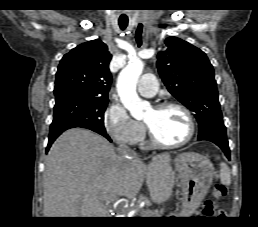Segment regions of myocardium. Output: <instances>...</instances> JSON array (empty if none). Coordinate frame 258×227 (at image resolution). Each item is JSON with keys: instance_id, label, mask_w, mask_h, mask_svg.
I'll return each mask as SVG.
<instances>
[{"instance_id": "obj_1", "label": "myocardium", "mask_w": 258, "mask_h": 227, "mask_svg": "<svg viewBox=\"0 0 258 227\" xmlns=\"http://www.w3.org/2000/svg\"><path fill=\"white\" fill-rule=\"evenodd\" d=\"M171 107L177 108L185 114V116L187 118V121H188V124H189L188 134L183 140H181L179 142L166 143V142L161 141L156 136V134L154 133L152 128L147 123H145L146 127H147V130H148L149 137H150V141H151L152 145L155 146V147L163 148V149L178 148V147L184 146L185 144L190 142L192 140V138L194 137V134H195V131H196L195 120H194V117H193L191 111L185 105H183L179 102H175V101H164V102L156 104L153 108L155 110H163V109L171 108Z\"/></svg>"}]
</instances>
